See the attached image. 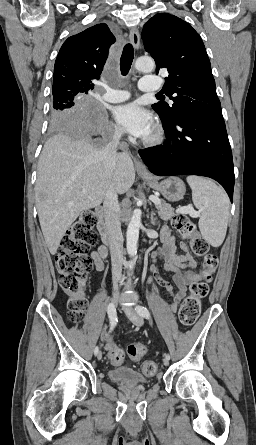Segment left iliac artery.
<instances>
[{
    "instance_id": "1",
    "label": "left iliac artery",
    "mask_w": 256,
    "mask_h": 445,
    "mask_svg": "<svg viewBox=\"0 0 256 445\" xmlns=\"http://www.w3.org/2000/svg\"><path fill=\"white\" fill-rule=\"evenodd\" d=\"M136 310L138 312L139 315H141L142 317L146 318V319H150V313L149 310L144 307V306H137ZM165 357L167 359H170V355L169 354H165Z\"/></svg>"
}]
</instances>
